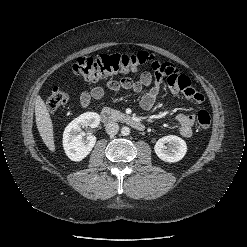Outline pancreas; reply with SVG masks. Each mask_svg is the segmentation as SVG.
Masks as SVG:
<instances>
[{"instance_id":"pancreas-1","label":"pancreas","mask_w":247,"mask_h":247,"mask_svg":"<svg viewBox=\"0 0 247 247\" xmlns=\"http://www.w3.org/2000/svg\"><path fill=\"white\" fill-rule=\"evenodd\" d=\"M113 115L116 119H120V118H123L125 116V114H123L122 112H120L118 110H114Z\"/></svg>"}]
</instances>
